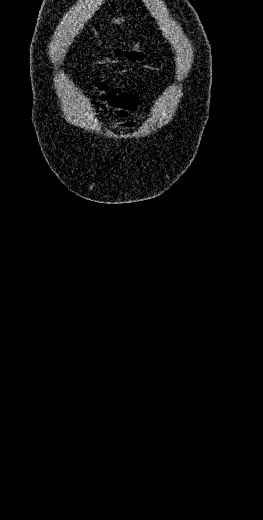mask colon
I'll use <instances>...</instances> for the list:
<instances>
[{"label": "colon", "instance_id": "obj_1", "mask_svg": "<svg viewBox=\"0 0 263 520\" xmlns=\"http://www.w3.org/2000/svg\"><path fill=\"white\" fill-rule=\"evenodd\" d=\"M115 54L118 57H126L133 61L142 60L145 57L144 53L136 48H118L115 50Z\"/></svg>", "mask_w": 263, "mask_h": 520}]
</instances>
